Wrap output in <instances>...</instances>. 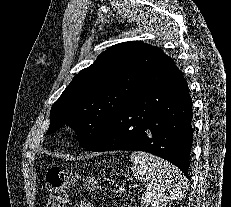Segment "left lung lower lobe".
Segmentation results:
<instances>
[{
  "label": "left lung lower lobe",
  "mask_w": 231,
  "mask_h": 207,
  "mask_svg": "<svg viewBox=\"0 0 231 207\" xmlns=\"http://www.w3.org/2000/svg\"><path fill=\"white\" fill-rule=\"evenodd\" d=\"M192 99L188 85L166 54L146 87L111 122L89 150H138L158 155L186 176L190 166Z\"/></svg>",
  "instance_id": "1"
}]
</instances>
